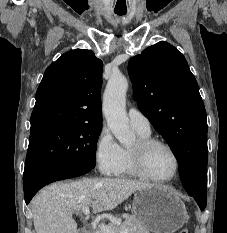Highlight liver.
<instances>
[{
  "label": "liver",
  "instance_id": "obj_1",
  "mask_svg": "<svg viewBox=\"0 0 227 233\" xmlns=\"http://www.w3.org/2000/svg\"><path fill=\"white\" fill-rule=\"evenodd\" d=\"M154 186L123 178H85L59 182L42 189L31 202L36 233H77L73 212L92 207L94 212L114 209L134 192Z\"/></svg>",
  "mask_w": 227,
  "mask_h": 233
}]
</instances>
